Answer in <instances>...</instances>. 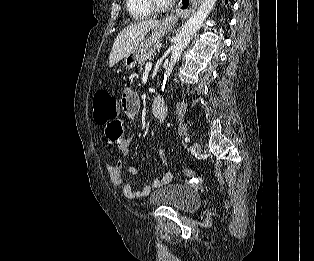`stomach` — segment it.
Returning a JSON list of instances; mask_svg holds the SVG:
<instances>
[{"mask_svg":"<svg viewBox=\"0 0 314 261\" xmlns=\"http://www.w3.org/2000/svg\"><path fill=\"white\" fill-rule=\"evenodd\" d=\"M166 22L160 23L150 35H148L131 53H129L123 62L126 69H133L143 53L158 42L168 31Z\"/></svg>","mask_w":314,"mask_h":261,"instance_id":"0dacf381","label":"stomach"}]
</instances>
